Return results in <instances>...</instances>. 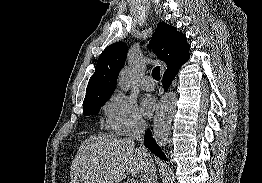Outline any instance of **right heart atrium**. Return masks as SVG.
<instances>
[{
	"label": "right heart atrium",
	"instance_id": "d8ad5b80",
	"mask_svg": "<svg viewBox=\"0 0 262 183\" xmlns=\"http://www.w3.org/2000/svg\"><path fill=\"white\" fill-rule=\"evenodd\" d=\"M105 127L114 134L128 136L145 128L136 102L120 92L113 93L105 102Z\"/></svg>",
	"mask_w": 262,
	"mask_h": 183
}]
</instances>
